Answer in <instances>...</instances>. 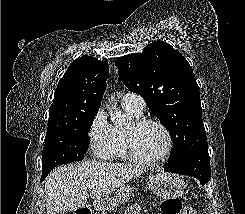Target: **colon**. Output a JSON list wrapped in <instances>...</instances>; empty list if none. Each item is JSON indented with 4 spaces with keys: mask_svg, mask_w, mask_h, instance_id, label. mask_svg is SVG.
Instances as JSON below:
<instances>
[{
    "mask_svg": "<svg viewBox=\"0 0 245 214\" xmlns=\"http://www.w3.org/2000/svg\"><path fill=\"white\" fill-rule=\"evenodd\" d=\"M162 214H195L191 207H182V203L178 199L165 200L161 205ZM86 214H90L87 212Z\"/></svg>",
    "mask_w": 245,
    "mask_h": 214,
    "instance_id": "obj_1",
    "label": "colon"
}]
</instances>
